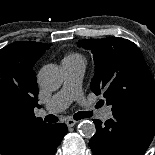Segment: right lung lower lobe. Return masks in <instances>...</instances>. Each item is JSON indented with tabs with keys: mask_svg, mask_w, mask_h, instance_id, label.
I'll return each instance as SVG.
<instances>
[{
	"mask_svg": "<svg viewBox=\"0 0 155 155\" xmlns=\"http://www.w3.org/2000/svg\"><path fill=\"white\" fill-rule=\"evenodd\" d=\"M66 132L65 124H49L38 134L29 155H54Z\"/></svg>",
	"mask_w": 155,
	"mask_h": 155,
	"instance_id": "98d812e1",
	"label": "right lung lower lobe"
}]
</instances>
